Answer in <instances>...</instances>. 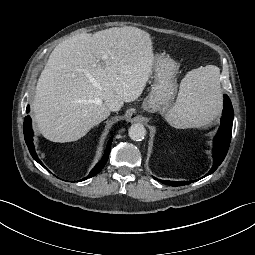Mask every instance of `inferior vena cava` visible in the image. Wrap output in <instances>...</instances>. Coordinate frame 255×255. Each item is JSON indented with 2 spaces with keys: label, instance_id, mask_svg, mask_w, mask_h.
Segmentation results:
<instances>
[{
  "label": "inferior vena cava",
  "instance_id": "1",
  "mask_svg": "<svg viewBox=\"0 0 255 255\" xmlns=\"http://www.w3.org/2000/svg\"><path fill=\"white\" fill-rule=\"evenodd\" d=\"M106 106L110 111H119L121 108V103L117 99H110L106 101Z\"/></svg>",
  "mask_w": 255,
  "mask_h": 255
}]
</instances>
